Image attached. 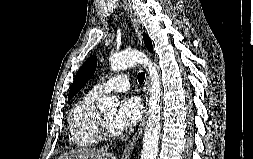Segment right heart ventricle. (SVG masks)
Instances as JSON below:
<instances>
[{
    "instance_id": "right-heart-ventricle-1",
    "label": "right heart ventricle",
    "mask_w": 253,
    "mask_h": 159,
    "mask_svg": "<svg viewBox=\"0 0 253 159\" xmlns=\"http://www.w3.org/2000/svg\"><path fill=\"white\" fill-rule=\"evenodd\" d=\"M99 95L92 91L82 97L68 116V136L71 145L79 149H91L101 142L100 114L95 106Z\"/></svg>"
}]
</instances>
